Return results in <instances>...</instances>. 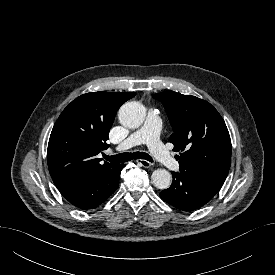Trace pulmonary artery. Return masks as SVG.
I'll return each mask as SVG.
<instances>
[{
  "mask_svg": "<svg viewBox=\"0 0 275 275\" xmlns=\"http://www.w3.org/2000/svg\"><path fill=\"white\" fill-rule=\"evenodd\" d=\"M161 120L159 112L153 108L148 110L145 124L129 135L119 144V149L126 150L139 144H146L153 156L164 166L178 170L179 162L174 159L160 139Z\"/></svg>",
  "mask_w": 275,
  "mask_h": 275,
  "instance_id": "obj_1",
  "label": "pulmonary artery"
}]
</instances>
